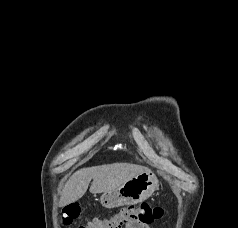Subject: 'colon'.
<instances>
[{"mask_svg": "<svg viewBox=\"0 0 238 228\" xmlns=\"http://www.w3.org/2000/svg\"><path fill=\"white\" fill-rule=\"evenodd\" d=\"M81 207L70 204L63 207L61 219L63 224L69 225L80 214ZM163 216V209L142 203L139 206H125L112 215L95 218L77 228H132L137 224L151 225Z\"/></svg>", "mask_w": 238, "mask_h": 228, "instance_id": "obj_1", "label": "colon"}]
</instances>
